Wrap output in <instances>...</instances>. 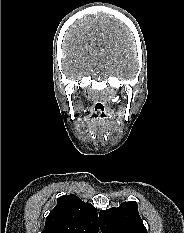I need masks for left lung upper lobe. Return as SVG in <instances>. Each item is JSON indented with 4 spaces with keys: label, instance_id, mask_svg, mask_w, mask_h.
I'll list each match as a JSON object with an SVG mask.
<instances>
[{
    "label": "left lung upper lobe",
    "instance_id": "obj_1",
    "mask_svg": "<svg viewBox=\"0 0 184 233\" xmlns=\"http://www.w3.org/2000/svg\"><path fill=\"white\" fill-rule=\"evenodd\" d=\"M99 223L102 233H148L135 201L123 202L117 208L101 210Z\"/></svg>",
    "mask_w": 184,
    "mask_h": 233
}]
</instances>
